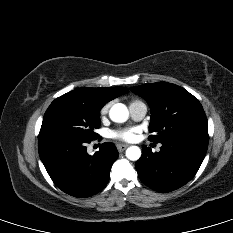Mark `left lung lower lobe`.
I'll use <instances>...</instances> for the list:
<instances>
[{
	"label": "left lung lower lobe",
	"instance_id": "1",
	"mask_svg": "<svg viewBox=\"0 0 233 233\" xmlns=\"http://www.w3.org/2000/svg\"><path fill=\"white\" fill-rule=\"evenodd\" d=\"M208 139L178 138L162 143L160 152L143 146L135 167L140 180L158 192H170L189 182L206 155Z\"/></svg>",
	"mask_w": 233,
	"mask_h": 233
}]
</instances>
